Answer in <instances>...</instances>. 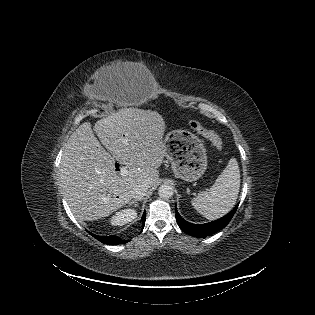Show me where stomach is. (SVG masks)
I'll return each instance as SVG.
<instances>
[{
  "instance_id": "0dacf381",
  "label": "stomach",
  "mask_w": 315,
  "mask_h": 315,
  "mask_svg": "<svg viewBox=\"0 0 315 315\" xmlns=\"http://www.w3.org/2000/svg\"><path fill=\"white\" fill-rule=\"evenodd\" d=\"M166 157L174 174L185 180L199 179L207 168L206 149L202 141L185 129L172 130L165 137Z\"/></svg>"
}]
</instances>
